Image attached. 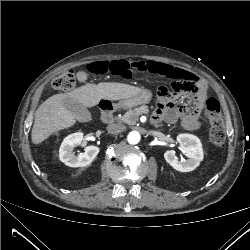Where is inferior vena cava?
<instances>
[{
    "mask_svg": "<svg viewBox=\"0 0 250 250\" xmlns=\"http://www.w3.org/2000/svg\"><path fill=\"white\" fill-rule=\"evenodd\" d=\"M125 130V126L119 124H110L107 126V131L109 133H118Z\"/></svg>",
    "mask_w": 250,
    "mask_h": 250,
    "instance_id": "1",
    "label": "inferior vena cava"
}]
</instances>
